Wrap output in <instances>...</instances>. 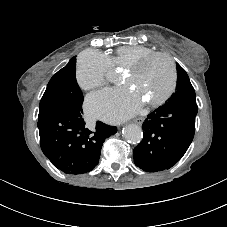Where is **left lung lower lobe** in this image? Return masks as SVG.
<instances>
[{"label":"left lung lower lobe","mask_w":227,"mask_h":227,"mask_svg":"<svg viewBox=\"0 0 227 227\" xmlns=\"http://www.w3.org/2000/svg\"><path fill=\"white\" fill-rule=\"evenodd\" d=\"M196 102L165 103L144 121L143 139L134 149V163L147 172L171 168L185 154L195 133Z\"/></svg>","instance_id":"left-lung-lower-lobe-1"}]
</instances>
